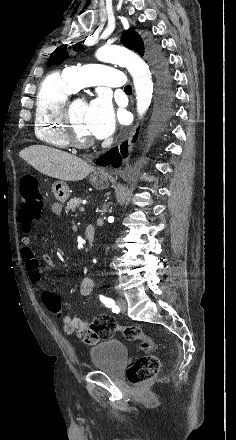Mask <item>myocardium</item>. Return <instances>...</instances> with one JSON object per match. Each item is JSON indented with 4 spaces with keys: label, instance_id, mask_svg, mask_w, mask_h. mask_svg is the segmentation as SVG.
<instances>
[{
    "label": "myocardium",
    "instance_id": "f54148a6",
    "mask_svg": "<svg viewBox=\"0 0 236 440\" xmlns=\"http://www.w3.org/2000/svg\"><path fill=\"white\" fill-rule=\"evenodd\" d=\"M77 99L76 97L67 98L62 106L59 117L62 122L63 134L68 144L78 148H86L92 146L94 140L92 138H81L75 130L72 118V107Z\"/></svg>",
    "mask_w": 236,
    "mask_h": 440
}]
</instances>
